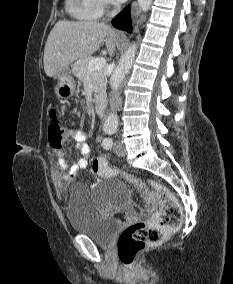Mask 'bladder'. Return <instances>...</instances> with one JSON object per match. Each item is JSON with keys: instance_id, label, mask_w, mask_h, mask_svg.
<instances>
[{"instance_id": "obj_1", "label": "bladder", "mask_w": 233, "mask_h": 284, "mask_svg": "<svg viewBox=\"0 0 233 284\" xmlns=\"http://www.w3.org/2000/svg\"><path fill=\"white\" fill-rule=\"evenodd\" d=\"M130 189L122 181L107 182L99 196L89 188L74 185L70 189L66 214L73 231L86 235L100 245H109L121 223L115 217L103 213L101 204L124 203L130 197Z\"/></svg>"}]
</instances>
